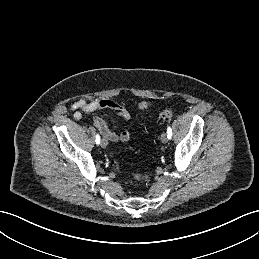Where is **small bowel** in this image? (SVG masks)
<instances>
[{
	"label": "small bowel",
	"mask_w": 259,
	"mask_h": 259,
	"mask_svg": "<svg viewBox=\"0 0 259 259\" xmlns=\"http://www.w3.org/2000/svg\"><path fill=\"white\" fill-rule=\"evenodd\" d=\"M151 106L150 101H142L138 104V110H144ZM111 109L115 114L125 121H130L131 114L129 110L120 103L111 99H98L93 101H86L84 99L78 100L71 107L75 119L79 120L82 117V113H90L101 109ZM94 125L101 132V134L111 142H127L131 138V133L128 130H124L120 133H116L109 128L105 121L100 117L93 119Z\"/></svg>",
	"instance_id": "small-bowel-1"
}]
</instances>
